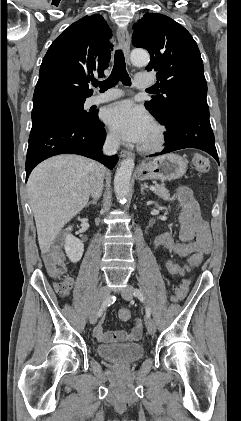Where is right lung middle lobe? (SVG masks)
I'll list each match as a JSON object with an SVG mask.
<instances>
[{
    "label": "right lung middle lobe",
    "mask_w": 241,
    "mask_h": 421,
    "mask_svg": "<svg viewBox=\"0 0 241 421\" xmlns=\"http://www.w3.org/2000/svg\"><path fill=\"white\" fill-rule=\"evenodd\" d=\"M85 100H57V101H50L45 102L36 106H33L32 110V119L43 115L49 111L60 109V108H66L71 107L76 110L81 120L85 122H90L95 118L93 113H87L83 109Z\"/></svg>",
    "instance_id": "1"
}]
</instances>
